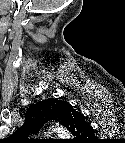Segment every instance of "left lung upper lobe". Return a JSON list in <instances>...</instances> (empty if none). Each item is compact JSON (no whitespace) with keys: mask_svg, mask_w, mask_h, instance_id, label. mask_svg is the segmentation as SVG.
Returning <instances> with one entry per match:
<instances>
[{"mask_svg":"<svg viewBox=\"0 0 125 143\" xmlns=\"http://www.w3.org/2000/svg\"><path fill=\"white\" fill-rule=\"evenodd\" d=\"M68 102L49 98L46 101H39L30 106L26 112L25 124L18 131L14 132L9 139L26 140L30 134L39 131L48 120H55L66 126L74 136L91 134L92 128L86 123L85 119L75 122L69 127L65 124V106Z\"/></svg>","mask_w":125,"mask_h":143,"instance_id":"1","label":"left lung upper lobe"}]
</instances>
